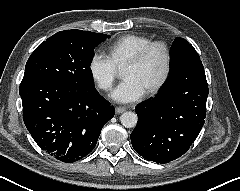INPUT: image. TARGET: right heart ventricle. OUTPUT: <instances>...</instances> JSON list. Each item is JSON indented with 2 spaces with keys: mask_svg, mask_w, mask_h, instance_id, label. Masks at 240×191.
Listing matches in <instances>:
<instances>
[{
  "mask_svg": "<svg viewBox=\"0 0 240 191\" xmlns=\"http://www.w3.org/2000/svg\"><path fill=\"white\" fill-rule=\"evenodd\" d=\"M152 40L143 35L128 34L124 35L108 46V55L117 68L125 65V63L135 55L143 46Z\"/></svg>",
  "mask_w": 240,
  "mask_h": 191,
  "instance_id": "right-heart-ventricle-1",
  "label": "right heart ventricle"
}]
</instances>
